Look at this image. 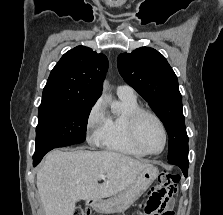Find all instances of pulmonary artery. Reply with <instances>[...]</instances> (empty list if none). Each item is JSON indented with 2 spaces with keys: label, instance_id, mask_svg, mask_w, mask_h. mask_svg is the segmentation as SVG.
I'll list each match as a JSON object with an SVG mask.
<instances>
[{
  "label": "pulmonary artery",
  "instance_id": "1",
  "mask_svg": "<svg viewBox=\"0 0 223 215\" xmlns=\"http://www.w3.org/2000/svg\"><path fill=\"white\" fill-rule=\"evenodd\" d=\"M116 92L119 97H136L134 90L128 85H118L116 88Z\"/></svg>",
  "mask_w": 223,
  "mask_h": 215
}]
</instances>
